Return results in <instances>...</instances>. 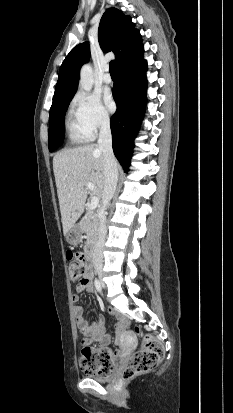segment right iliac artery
<instances>
[{
	"mask_svg": "<svg viewBox=\"0 0 233 413\" xmlns=\"http://www.w3.org/2000/svg\"><path fill=\"white\" fill-rule=\"evenodd\" d=\"M94 284H95V287H96V289H97V291L98 292H101V283H100V281L98 280V279H95V282H94Z\"/></svg>",
	"mask_w": 233,
	"mask_h": 413,
	"instance_id": "82829eb1",
	"label": "right iliac artery"
}]
</instances>
